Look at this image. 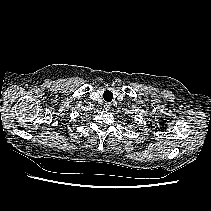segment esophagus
<instances>
[{"label":"esophagus","instance_id":"esophagus-1","mask_svg":"<svg viewBox=\"0 0 211 211\" xmlns=\"http://www.w3.org/2000/svg\"><path fill=\"white\" fill-rule=\"evenodd\" d=\"M104 108H105V110H109L111 108V104L110 103H105L104 104Z\"/></svg>","mask_w":211,"mask_h":211}]
</instances>
